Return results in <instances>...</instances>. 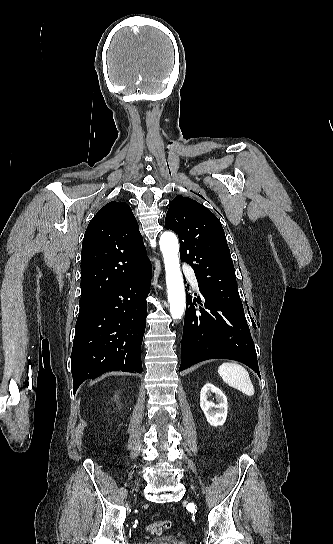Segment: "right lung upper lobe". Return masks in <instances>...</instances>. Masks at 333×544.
Returning <instances> with one entry per match:
<instances>
[{
	"instance_id": "obj_1",
	"label": "right lung upper lobe",
	"mask_w": 333,
	"mask_h": 544,
	"mask_svg": "<svg viewBox=\"0 0 333 544\" xmlns=\"http://www.w3.org/2000/svg\"><path fill=\"white\" fill-rule=\"evenodd\" d=\"M150 261L132 210L114 201L90 221L81 252L80 302L96 301Z\"/></svg>"
}]
</instances>
